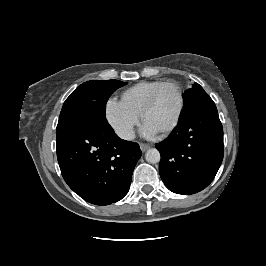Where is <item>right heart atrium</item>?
I'll list each match as a JSON object with an SVG mask.
<instances>
[{
    "mask_svg": "<svg viewBox=\"0 0 266 266\" xmlns=\"http://www.w3.org/2000/svg\"><path fill=\"white\" fill-rule=\"evenodd\" d=\"M105 117L115 133L125 140L133 137L134 128L140 120L138 113L129 108L122 100L113 97L105 103Z\"/></svg>",
    "mask_w": 266,
    "mask_h": 266,
    "instance_id": "d8ad5b80",
    "label": "right heart atrium"
}]
</instances>
